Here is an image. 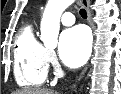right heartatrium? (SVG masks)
Instances as JSON below:
<instances>
[{
  "instance_id": "1",
  "label": "right heart atrium",
  "mask_w": 121,
  "mask_h": 94,
  "mask_svg": "<svg viewBox=\"0 0 121 94\" xmlns=\"http://www.w3.org/2000/svg\"><path fill=\"white\" fill-rule=\"evenodd\" d=\"M47 62L50 64H55V62H56L55 54L51 50L47 51Z\"/></svg>"
}]
</instances>
